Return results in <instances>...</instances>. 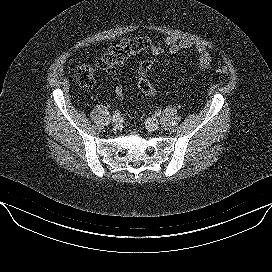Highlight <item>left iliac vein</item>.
<instances>
[{
	"label": "left iliac vein",
	"instance_id": "1",
	"mask_svg": "<svg viewBox=\"0 0 272 272\" xmlns=\"http://www.w3.org/2000/svg\"><path fill=\"white\" fill-rule=\"evenodd\" d=\"M145 124L147 129L151 131H156L160 127L159 122L155 118H148Z\"/></svg>",
	"mask_w": 272,
	"mask_h": 272
}]
</instances>
